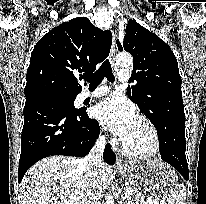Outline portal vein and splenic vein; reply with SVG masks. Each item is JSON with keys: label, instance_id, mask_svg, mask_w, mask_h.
Returning a JSON list of instances; mask_svg holds the SVG:
<instances>
[{"label": "portal vein and splenic vein", "instance_id": "1", "mask_svg": "<svg viewBox=\"0 0 206 204\" xmlns=\"http://www.w3.org/2000/svg\"><path fill=\"white\" fill-rule=\"evenodd\" d=\"M125 195L126 196L132 195V191L129 189H126ZM149 204H159V203L157 202V200H151V201H149Z\"/></svg>", "mask_w": 206, "mask_h": 204}]
</instances>
